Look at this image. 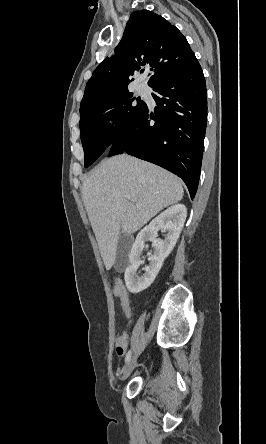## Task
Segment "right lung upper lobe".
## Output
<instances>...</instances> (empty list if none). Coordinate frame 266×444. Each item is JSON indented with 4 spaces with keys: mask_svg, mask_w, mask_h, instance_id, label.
I'll list each match as a JSON object with an SVG mask.
<instances>
[{
    "mask_svg": "<svg viewBox=\"0 0 266 444\" xmlns=\"http://www.w3.org/2000/svg\"><path fill=\"white\" fill-rule=\"evenodd\" d=\"M197 62L177 27L151 11L133 12L114 55L107 57L87 82L81 105L127 89L133 74L145 65L152 67L148 85L153 87L188 71Z\"/></svg>",
    "mask_w": 266,
    "mask_h": 444,
    "instance_id": "right-lung-upper-lobe-1",
    "label": "right lung upper lobe"
}]
</instances>
